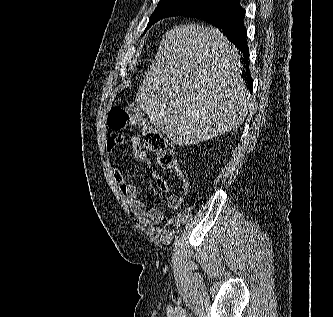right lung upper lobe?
Segmentation results:
<instances>
[{
  "instance_id": "cb5924a9",
  "label": "right lung upper lobe",
  "mask_w": 333,
  "mask_h": 317,
  "mask_svg": "<svg viewBox=\"0 0 333 317\" xmlns=\"http://www.w3.org/2000/svg\"><path fill=\"white\" fill-rule=\"evenodd\" d=\"M230 3H235L237 1H240V0H228Z\"/></svg>"
}]
</instances>
